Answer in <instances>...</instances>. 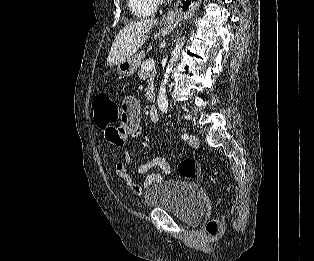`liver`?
Listing matches in <instances>:
<instances>
[{
    "instance_id": "obj_1",
    "label": "liver",
    "mask_w": 314,
    "mask_h": 261,
    "mask_svg": "<svg viewBox=\"0 0 314 261\" xmlns=\"http://www.w3.org/2000/svg\"><path fill=\"white\" fill-rule=\"evenodd\" d=\"M158 23L144 19L127 24L119 31L107 58V65L114 66L133 56L145 43L150 29Z\"/></svg>"
}]
</instances>
